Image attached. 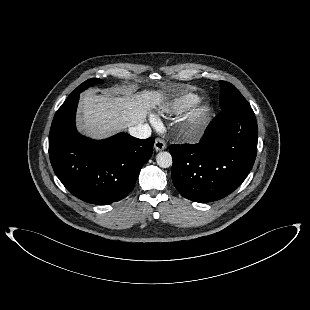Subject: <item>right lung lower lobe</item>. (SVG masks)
<instances>
[{"label": "right lung lower lobe", "instance_id": "obj_1", "mask_svg": "<svg viewBox=\"0 0 310 310\" xmlns=\"http://www.w3.org/2000/svg\"><path fill=\"white\" fill-rule=\"evenodd\" d=\"M80 93L70 95L56 112L49 134L53 170L79 199L107 205L126 197L153 152L154 139L119 133L104 140L80 135L75 114Z\"/></svg>", "mask_w": 310, "mask_h": 310}]
</instances>
